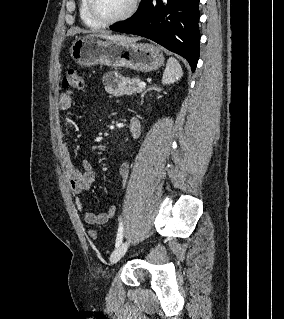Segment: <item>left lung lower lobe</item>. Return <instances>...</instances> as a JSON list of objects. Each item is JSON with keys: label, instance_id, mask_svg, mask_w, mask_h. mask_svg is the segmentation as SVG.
I'll use <instances>...</instances> for the list:
<instances>
[{"label": "left lung lower lobe", "instance_id": "1", "mask_svg": "<svg viewBox=\"0 0 284 319\" xmlns=\"http://www.w3.org/2000/svg\"><path fill=\"white\" fill-rule=\"evenodd\" d=\"M199 0H142L129 19L111 30L146 37L184 57L195 71L199 59Z\"/></svg>", "mask_w": 284, "mask_h": 319}]
</instances>
